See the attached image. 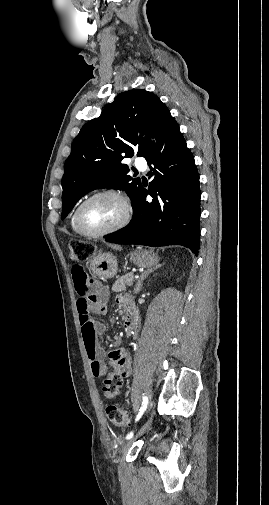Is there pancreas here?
I'll return each mask as SVG.
<instances>
[{"mask_svg":"<svg viewBox=\"0 0 269 505\" xmlns=\"http://www.w3.org/2000/svg\"><path fill=\"white\" fill-rule=\"evenodd\" d=\"M133 278H134L133 273H128V274L122 276L121 278L116 280V282L112 286V291L121 292V291L126 290L127 286L132 285Z\"/></svg>","mask_w":269,"mask_h":505,"instance_id":"1","label":"pancreas"}]
</instances>
